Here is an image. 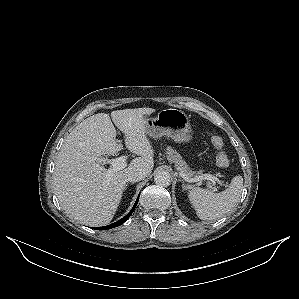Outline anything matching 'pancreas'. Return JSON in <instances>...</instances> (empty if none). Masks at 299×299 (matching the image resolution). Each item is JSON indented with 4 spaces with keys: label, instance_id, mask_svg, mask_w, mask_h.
<instances>
[{
    "label": "pancreas",
    "instance_id": "obj_1",
    "mask_svg": "<svg viewBox=\"0 0 299 299\" xmlns=\"http://www.w3.org/2000/svg\"><path fill=\"white\" fill-rule=\"evenodd\" d=\"M167 159L175 164V167L179 172L186 174L188 177H192L196 174V172L192 171L187 163L182 159V156L171 147L166 148ZM198 175H202L201 172L197 173Z\"/></svg>",
    "mask_w": 299,
    "mask_h": 299
}]
</instances>
